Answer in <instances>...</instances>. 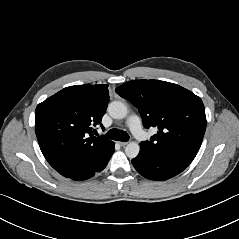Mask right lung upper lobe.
<instances>
[{"instance_id": "right-lung-upper-lobe-1", "label": "right lung upper lobe", "mask_w": 239, "mask_h": 239, "mask_svg": "<svg viewBox=\"0 0 239 239\" xmlns=\"http://www.w3.org/2000/svg\"><path fill=\"white\" fill-rule=\"evenodd\" d=\"M108 85L66 87L35 110V132L49 164L61 175L100 161L113 144L93 136L109 101Z\"/></svg>"}]
</instances>
